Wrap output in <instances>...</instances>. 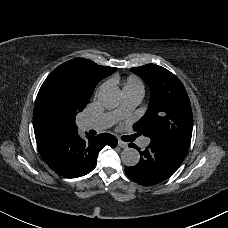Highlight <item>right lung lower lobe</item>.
Segmentation results:
<instances>
[{"label": "right lung lower lobe", "mask_w": 228, "mask_h": 228, "mask_svg": "<svg viewBox=\"0 0 228 228\" xmlns=\"http://www.w3.org/2000/svg\"><path fill=\"white\" fill-rule=\"evenodd\" d=\"M83 139L78 131L49 138L37 143L45 163L57 174L75 178L88 174L96 164L98 152L106 145L115 148L117 138L109 133L97 137L86 133Z\"/></svg>", "instance_id": "98d812e1"}]
</instances>
